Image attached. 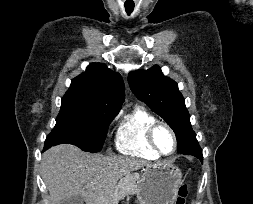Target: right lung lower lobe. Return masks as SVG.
Masks as SVG:
<instances>
[{"mask_svg": "<svg viewBox=\"0 0 253 204\" xmlns=\"http://www.w3.org/2000/svg\"><path fill=\"white\" fill-rule=\"evenodd\" d=\"M47 148H49V146H48V145H45V146H44V150H46Z\"/></svg>", "mask_w": 253, "mask_h": 204, "instance_id": "obj_1", "label": "right lung lower lobe"}]
</instances>
